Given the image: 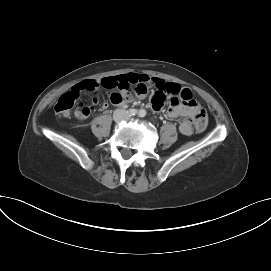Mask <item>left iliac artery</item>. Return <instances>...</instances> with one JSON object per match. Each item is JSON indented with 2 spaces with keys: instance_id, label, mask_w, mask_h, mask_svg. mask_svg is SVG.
Here are the masks:
<instances>
[{
  "instance_id": "1",
  "label": "left iliac artery",
  "mask_w": 271,
  "mask_h": 271,
  "mask_svg": "<svg viewBox=\"0 0 271 271\" xmlns=\"http://www.w3.org/2000/svg\"><path fill=\"white\" fill-rule=\"evenodd\" d=\"M138 115H139V117H142V118L145 117L146 116V110H144V109L139 110Z\"/></svg>"
}]
</instances>
